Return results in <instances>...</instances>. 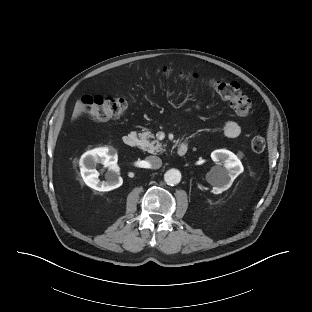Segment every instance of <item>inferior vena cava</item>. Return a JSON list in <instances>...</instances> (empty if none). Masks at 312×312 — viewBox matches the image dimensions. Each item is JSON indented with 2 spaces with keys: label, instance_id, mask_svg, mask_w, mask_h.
I'll return each instance as SVG.
<instances>
[{
  "label": "inferior vena cava",
  "instance_id": "602c4592",
  "mask_svg": "<svg viewBox=\"0 0 312 312\" xmlns=\"http://www.w3.org/2000/svg\"><path fill=\"white\" fill-rule=\"evenodd\" d=\"M149 168L159 169L162 166V160L158 156L147 157Z\"/></svg>",
  "mask_w": 312,
  "mask_h": 312
}]
</instances>
